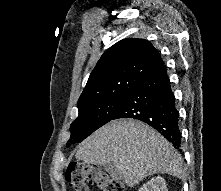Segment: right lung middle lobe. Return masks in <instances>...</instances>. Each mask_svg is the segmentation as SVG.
<instances>
[{"mask_svg":"<svg viewBox=\"0 0 221 191\" xmlns=\"http://www.w3.org/2000/svg\"><path fill=\"white\" fill-rule=\"evenodd\" d=\"M128 93L78 109V117L70 126L71 137L67 146L83 141L92 132L111 121Z\"/></svg>","mask_w":221,"mask_h":191,"instance_id":"dd1d6c3e","label":"right lung middle lobe"}]
</instances>
